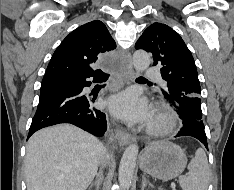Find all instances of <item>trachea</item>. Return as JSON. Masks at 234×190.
<instances>
[{"instance_id": "obj_1", "label": "trachea", "mask_w": 234, "mask_h": 190, "mask_svg": "<svg viewBox=\"0 0 234 190\" xmlns=\"http://www.w3.org/2000/svg\"><path fill=\"white\" fill-rule=\"evenodd\" d=\"M138 79H141V80H147L146 78L144 77H139Z\"/></svg>"}]
</instances>
